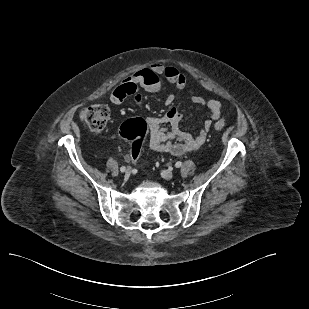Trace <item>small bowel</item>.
<instances>
[{"label": "small bowel", "mask_w": 309, "mask_h": 309, "mask_svg": "<svg viewBox=\"0 0 309 309\" xmlns=\"http://www.w3.org/2000/svg\"><path fill=\"white\" fill-rule=\"evenodd\" d=\"M162 78H165L178 89L187 88L185 76L175 67L153 64L136 71L121 81L111 93L110 101L113 104H119L127 97H133L137 104H141L142 97L139 94V87L148 92L157 93L162 88ZM187 94L194 104L206 107L209 110V118L204 122L201 130L193 135L180 128L181 114L174 107L169 108L160 117H148L146 124L152 150L176 156L196 150L205 142L212 125L220 119L223 111L220 101L215 99L205 100L192 89H188ZM172 102L173 98L169 96L166 99V104L171 105ZM126 159L131 160L130 155Z\"/></svg>", "instance_id": "obj_1"}]
</instances>
